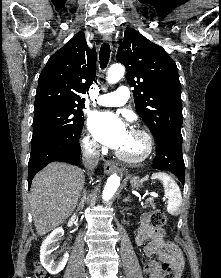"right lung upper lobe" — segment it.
I'll return each instance as SVG.
<instances>
[{"mask_svg": "<svg viewBox=\"0 0 221 278\" xmlns=\"http://www.w3.org/2000/svg\"><path fill=\"white\" fill-rule=\"evenodd\" d=\"M96 72V51L86 43L84 33L78 32L53 54L39 76L34 107L46 104L82 108L85 93L93 83Z\"/></svg>", "mask_w": 221, "mask_h": 278, "instance_id": "cb5924a9", "label": "right lung upper lobe"}]
</instances>
